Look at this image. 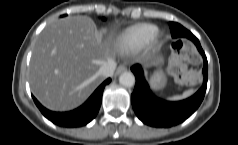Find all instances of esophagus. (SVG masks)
Listing matches in <instances>:
<instances>
[{"mask_svg":"<svg viewBox=\"0 0 238 145\" xmlns=\"http://www.w3.org/2000/svg\"><path fill=\"white\" fill-rule=\"evenodd\" d=\"M125 71H127V67L125 65H120L116 70V74L119 75Z\"/></svg>","mask_w":238,"mask_h":145,"instance_id":"1","label":"esophagus"}]
</instances>
